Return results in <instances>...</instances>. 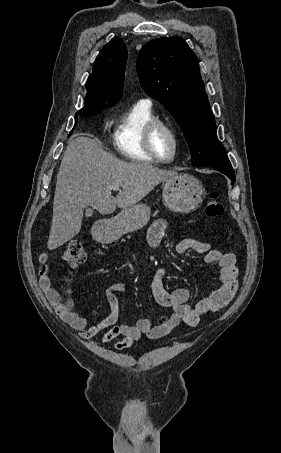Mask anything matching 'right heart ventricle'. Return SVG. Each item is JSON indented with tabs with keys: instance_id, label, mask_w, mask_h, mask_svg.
<instances>
[{
	"instance_id": "e07e8e85",
	"label": "right heart ventricle",
	"mask_w": 281,
	"mask_h": 453,
	"mask_svg": "<svg viewBox=\"0 0 281 453\" xmlns=\"http://www.w3.org/2000/svg\"><path fill=\"white\" fill-rule=\"evenodd\" d=\"M155 120L158 117L146 101H136L123 109L113 139L117 153L128 160L154 162L145 146V133L147 126Z\"/></svg>"
}]
</instances>
